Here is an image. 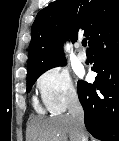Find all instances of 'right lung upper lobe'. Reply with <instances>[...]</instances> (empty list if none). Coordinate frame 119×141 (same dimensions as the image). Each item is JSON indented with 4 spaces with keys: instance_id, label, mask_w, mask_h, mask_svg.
<instances>
[{
    "instance_id": "right-lung-upper-lobe-1",
    "label": "right lung upper lobe",
    "mask_w": 119,
    "mask_h": 141,
    "mask_svg": "<svg viewBox=\"0 0 119 141\" xmlns=\"http://www.w3.org/2000/svg\"><path fill=\"white\" fill-rule=\"evenodd\" d=\"M119 16V0H55L42 9L32 25L27 75L65 65L63 43L83 30L89 45L107 22Z\"/></svg>"
}]
</instances>
